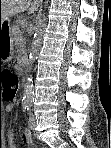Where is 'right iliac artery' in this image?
I'll list each match as a JSON object with an SVG mask.
<instances>
[{"mask_svg":"<svg viewBox=\"0 0 111 148\" xmlns=\"http://www.w3.org/2000/svg\"><path fill=\"white\" fill-rule=\"evenodd\" d=\"M23 108H24V110H28V108H29L28 103H23Z\"/></svg>","mask_w":111,"mask_h":148,"instance_id":"right-iliac-artery-1","label":"right iliac artery"}]
</instances>
